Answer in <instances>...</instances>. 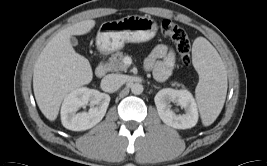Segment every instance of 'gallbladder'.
Returning a JSON list of instances; mask_svg holds the SVG:
<instances>
[{"label": "gallbladder", "mask_w": 267, "mask_h": 166, "mask_svg": "<svg viewBox=\"0 0 267 166\" xmlns=\"http://www.w3.org/2000/svg\"><path fill=\"white\" fill-rule=\"evenodd\" d=\"M70 43L72 46H76L78 44V40L76 39V37H70Z\"/></svg>", "instance_id": "bac80fb5"}]
</instances>
